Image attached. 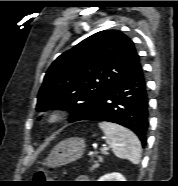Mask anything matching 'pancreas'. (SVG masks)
<instances>
[{
    "label": "pancreas",
    "mask_w": 178,
    "mask_h": 186,
    "mask_svg": "<svg viewBox=\"0 0 178 186\" xmlns=\"http://www.w3.org/2000/svg\"><path fill=\"white\" fill-rule=\"evenodd\" d=\"M102 157H99L98 161H94V164L92 165V167L90 168V171H93L94 169L99 167V162H102Z\"/></svg>",
    "instance_id": "obj_1"
}]
</instances>
